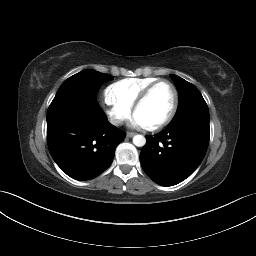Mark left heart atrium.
<instances>
[{"mask_svg": "<svg viewBox=\"0 0 256 256\" xmlns=\"http://www.w3.org/2000/svg\"><path fill=\"white\" fill-rule=\"evenodd\" d=\"M130 125L136 128L145 127L143 122L136 115L133 116Z\"/></svg>", "mask_w": 256, "mask_h": 256, "instance_id": "obj_1", "label": "left heart atrium"}]
</instances>
